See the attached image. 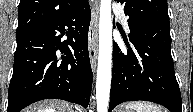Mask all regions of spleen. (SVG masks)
<instances>
[{
  "label": "spleen",
  "instance_id": "1",
  "mask_svg": "<svg viewBox=\"0 0 193 112\" xmlns=\"http://www.w3.org/2000/svg\"><path fill=\"white\" fill-rule=\"evenodd\" d=\"M127 109H134L137 112H162V109L152 103L144 101H133L127 104Z\"/></svg>",
  "mask_w": 193,
  "mask_h": 112
}]
</instances>
